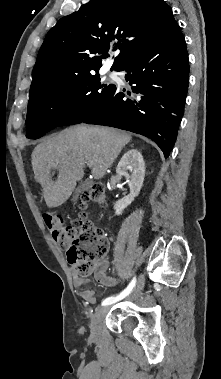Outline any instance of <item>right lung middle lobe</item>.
<instances>
[{"label": "right lung middle lobe", "instance_id": "1", "mask_svg": "<svg viewBox=\"0 0 221 379\" xmlns=\"http://www.w3.org/2000/svg\"><path fill=\"white\" fill-rule=\"evenodd\" d=\"M113 87L103 84L98 72L49 85L28 103L27 138L38 139L55 127L88 115Z\"/></svg>", "mask_w": 221, "mask_h": 379}]
</instances>
